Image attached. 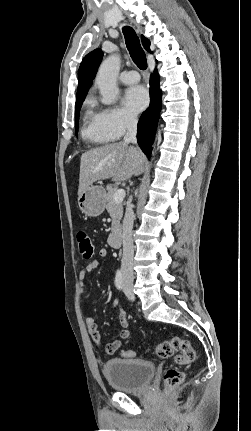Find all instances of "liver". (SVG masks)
<instances>
[{
    "label": "liver",
    "instance_id": "obj_1",
    "mask_svg": "<svg viewBox=\"0 0 251 431\" xmlns=\"http://www.w3.org/2000/svg\"><path fill=\"white\" fill-rule=\"evenodd\" d=\"M145 161L143 153L124 142L91 149L81 156L78 195L99 180L125 181L139 174Z\"/></svg>",
    "mask_w": 251,
    "mask_h": 431
}]
</instances>
